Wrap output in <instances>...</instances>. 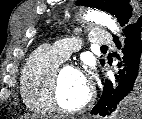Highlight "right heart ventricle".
<instances>
[{"mask_svg": "<svg viewBox=\"0 0 142 119\" xmlns=\"http://www.w3.org/2000/svg\"><path fill=\"white\" fill-rule=\"evenodd\" d=\"M63 59L50 46L37 48L29 57L21 73V96L32 111L52 113L49 89L56 70Z\"/></svg>", "mask_w": 142, "mask_h": 119, "instance_id": "obj_1", "label": "right heart ventricle"}]
</instances>
